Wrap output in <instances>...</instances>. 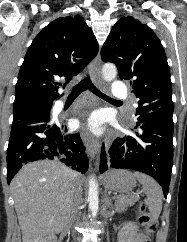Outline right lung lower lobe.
<instances>
[{"mask_svg": "<svg viewBox=\"0 0 187 242\" xmlns=\"http://www.w3.org/2000/svg\"><path fill=\"white\" fill-rule=\"evenodd\" d=\"M41 159H55L85 173L88 158L79 134L55 124L50 112L13 121L7 149V182L24 164Z\"/></svg>", "mask_w": 187, "mask_h": 242, "instance_id": "obj_1", "label": "right lung lower lobe"}]
</instances>
